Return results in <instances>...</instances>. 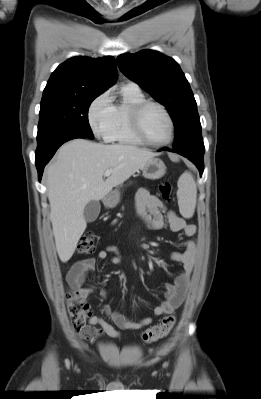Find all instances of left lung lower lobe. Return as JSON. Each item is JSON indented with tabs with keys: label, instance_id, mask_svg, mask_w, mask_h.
<instances>
[{
	"label": "left lung lower lobe",
	"instance_id": "obj_1",
	"mask_svg": "<svg viewBox=\"0 0 261 399\" xmlns=\"http://www.w3.org/2000/svg\"><path fill=\"white\" fill-rule=\"evenodd\" d=\"M172 151V152H176L178 154H181L182 156L188 158L190 161H192L198 168L199 172H200V176L203 173L204 170V162H203V156H204V152L205 150H176V149H169V148H163L159 151Z\"/></svg>",
	"mask_w": 261,
	"mask_h": 399
}]
</instances>
